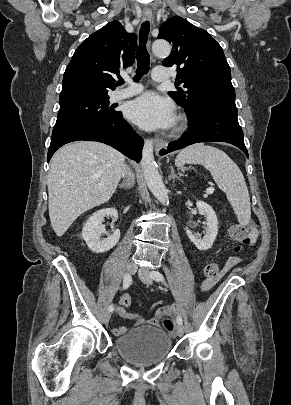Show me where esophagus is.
Returning a JSON list of instances; mask_svg holds the SVG:
<instances>
[{"label":"esophagus","instance_id":"obj_1","mask_svg":"<svg viewBox=\"0 0 291 405\" xmlns=\"http://www.w3.org/2000/svg\"><path fill=\"white\" fill-rule=\"evenodd\" d=\"M142 17H143V20L149 21L152 18V12L151 11H144ZM147 47H148V49H150V41L148 42ZM151 61L152 62L156 61V58L153 55H151ZM165 145H166L165 141L162 140L161 138H157L154 141L155 151H159Z\"/></svg>","mask_w":291,"mask_h":405}]
</instances>
